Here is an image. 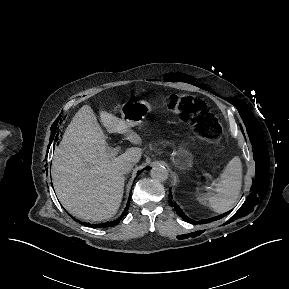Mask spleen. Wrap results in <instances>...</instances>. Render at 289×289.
I'll use <instances>...</instances> for the list:
<instances>
[{
    "mask_svg": "<svg viewBox=\"0 0 289 289\" xmlns=\"http://www.w3.org/2000/svg\"><path fill=\"white\" fill-rule=\"evenodd\" d=\"M242 187V163L239 157L232 158L224 168L217 183L215 192L210 195L202 193L199 201L216 213L231 210L240 195Z\"/></svg>",
    "mask_w": 289,
    "mask_h": 289,
    "instance_id": "spleen-1",
    "label": "spleen"
}]
</instances>
